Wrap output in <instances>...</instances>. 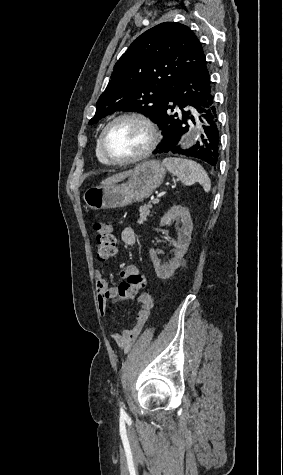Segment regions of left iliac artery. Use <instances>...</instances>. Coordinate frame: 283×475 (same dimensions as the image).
Returning a JSON list of instances; mask_svg holds the SVG:
<instances>
[{
    "label": "left iliac artery",
    "instance_id": "44dca946",
    "mask_svg": "<svg viewBox=\"0 0 283 475\" xmlns=\"http://www.w3.org/2000/svg\"><path fill=\"white\" fill-rule=\"evenodd\" d=\"M120 414L121 416H125L126 415V412L124 411V409L121 407L120 408Z\"/></svg>",
    "mask_w": 283,
    "mask_h": 475
}]
</instances>
